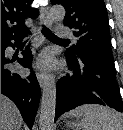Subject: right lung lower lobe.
Listing matches in <instances>:
<instances>
[{"label":"right lung lower lobe","mask_w":123,"mask_h":130,"mask_svg":"<svg viewBox=\"0 0 123 130\" xmlns=\"http://www.w3.org/2000/svg\"><path fill=\"white\" fill-rule=\"evenodd\" d=\"M21 38L13 39L1 43V94L10 98L19 108L24 121L29 128H32L38 103L40 100V86L33 72L27 77L22 78L19 74L10 69V64L14 61L5 56V49L8 46L17 47ZM23 58L18 59L17 63L25 68L31 67L32 54L28 48L22 51Z\"/></svg>","instance_id":"98d812e1"}]
</instances>
